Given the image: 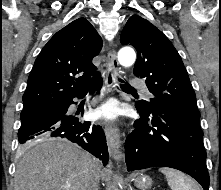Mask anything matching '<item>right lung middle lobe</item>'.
<instances>
[{"instance_id":"dd1d6c3e","label":"right lung middle lobe","mask_w":221,"mask_h":190,"mask_svg":"<svg viewBox=\"0 0 221 190\" xmlns=\"http://www.w3.org/2000/svg\"><path fill=\"white\" fill-rule=\"evenodd\" d=\"M59 103V102H58ZM58 103L46 104L38 107L23 109L20 115L21 123L31 120L56 106Z\"/></svg>"}]
</instances>
